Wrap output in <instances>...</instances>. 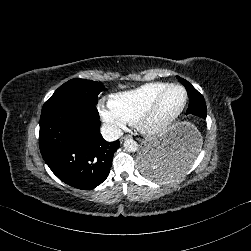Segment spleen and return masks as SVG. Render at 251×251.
Listing matches in <instances>:
<instances>
[{
	"mask_svg": "<svg viewBox=\"0 0 251 251\" xmlns=\"http://www.w3.org/2000/svg\"><path fill=\"white\" fill-rule=\"evenodd\" d=\"M200 148L195 147L194 151L200 150ZM193 159H194V154L191 152L187 153L184 156V158L180 160L179 167L176 168V171H178V174H174L173 172L175 170H171L169 167L150 165V169L148 171L147 177H151L155 179L156 181H168V180L176 179L188 170V168L192 164Z\"/></svg>",
	"mask_w": 251,
	"mask_h": 251,
	"instance_id": "1",
	"label": "spleen"
}]
</instances>
